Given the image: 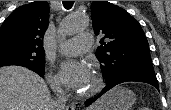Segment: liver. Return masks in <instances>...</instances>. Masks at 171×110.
<instances>
[{
  "mask_svg": "<svg viewBox=\"0 0 171 110\" xmlns=\"http://www.w3.org/2000/svg\"><path fill=\"white\" fill-rule=\"evenodd\" d=\"M45 81L20 66L0 68V110H56ZM102 99L91 110H97Z\"/></svg>",
  "mask_w": 171,
  "mask_h": 110,
  "instance_id": "1",
  "label": "liver"
}]
</instances>
